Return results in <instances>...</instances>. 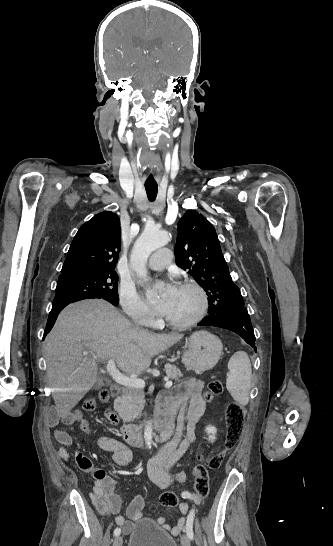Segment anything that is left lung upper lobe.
Here are the masks:
<instances>
[{
  "label": "left lung upper lobe",
  "mask_w": 333,
  "mask_h": 546,
  "mask_svg": "<svg viewBox=\"0 0 333 546\" xmlns=\"http://www.w3.org/2000/svg\"><path fill=\"white\" fill-rule=\"evenodd\" d=\"M174 253L176 264L188 270L206 291L209 315H225L245 307L240 290L230 276L215 229L198 212L188 210L179 220Z\"/></svg>",
  "instance_id": "1"
}]
</instances>
